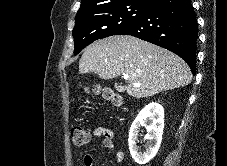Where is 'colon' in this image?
<instances>
[{
  "instance_id": "1",
  "label": "colon",
  "mask_w": 227,
  "mask_h": 166,
  "mask_svg": "<svg viewBox=\"0 0 227 166\" xmlns=\"http://www.w3.org/2000/svg\"><path fill=\"white\" fill-rule=\"evenodd\" d=\"M91 90L100 94L105 100L110 102L115 107L119 108L124 104L123 97L110 88L94 86ZM71 139L75 146H85L90 143L91 135L85 126L76 124L71 127Z\"/></svg>"
}]
</instances>
